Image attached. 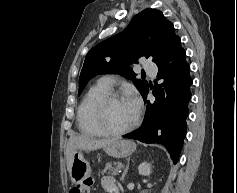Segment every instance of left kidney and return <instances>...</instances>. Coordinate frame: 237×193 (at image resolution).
<instances>
[{
  "label": "left kidney",
  "mask_w": 237,
  "mask_h": 193,
  "mask_svg": "<svg viewBox=\"0 0 237 193\" xmlns=\"http://www.w3.org/2000/svg\"><path fill=\"white\" fill-rule=\"evenodd\" d=\"M138 171L140 175L149 176L151 173V165L147 162H142L138 167Z\"/></svg>",
  "instance_id": "1"
}]
</instances>
